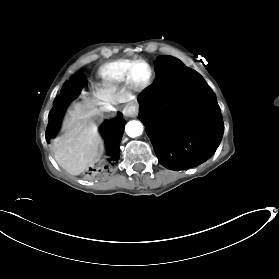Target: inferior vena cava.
Returning a JSON list of instances; mask_svg holds the SVG:
<instances>
[{
  "label": "inferior vena cava",
  "mask_w": 279,
  "mask_h": 279,
  "mask_svg": "<svg viewBox=\"0 0 279 279\" xmlns=\"http://www.w3.org/2000/svg\"><path fill=\"white\" fill-rule=\"evenodd\" d=\"M100 114H101L102 118H104L106 120H111V119L115 118V116L117 114V110L115 109V107H113L109 104H106L101 107Z\"/></svg>",
  "instance_id": "inferior-vena-cava-1"
}]
</instances>
